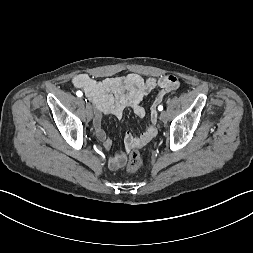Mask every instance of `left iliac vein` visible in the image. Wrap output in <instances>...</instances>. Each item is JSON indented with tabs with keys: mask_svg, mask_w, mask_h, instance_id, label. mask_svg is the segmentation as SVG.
<instances>
[{
	"mask_svg": "<svg viewBox=\"0 0 253 253\" xmlns=\"http://www.w3.org/2000/svg\"><path fill=\"white\" fill-rule=\"evenodd\" d=\"M160 119H161L162 121H165V120L167 119V113H166L165 111L161 112V114H160Z\"/></svg>",
	"mask_w": 253,
	"mask_h": 253,
	"instance_id": "left-iliac-vein-1",
	"label": "left iliac vein"
}]
</instances>
